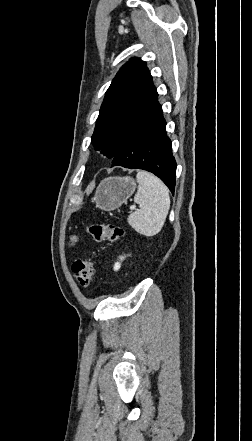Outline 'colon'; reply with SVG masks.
Here are the masks:
<instances>
[{
  "label": "colon",
  "instance_id": "obj_1",
  "mask_svg": "<svg viewBox=\"0 0 252 441\" xmlns=\"http://www.w3.org/2000/svg\"><path fill=\"white\" fill-rule=\"evenodd\" d=\"M87 232L95 241H116L124 235V230L113 224L93 223ZM74 241V240H73ZM95 261L91 258H79L72 265V271L82 287L89 286L94 279Z\"/></svg>",
  "mask_w": 252,
  "mask_h": 441
}]
</instances>
